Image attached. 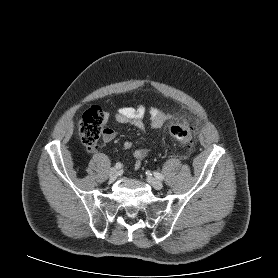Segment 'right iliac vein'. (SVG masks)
Here are the masks:
<instances>
[{"label": "right iliac vein", "mask_w": 278, "mask_h": 278, "mask_svg": "<svg viewBox=\"0 0 278 278\" xmlns=\"http://www.w3.org/2000/svg\"><path fill=\"white\" fill-rule=\"evenodd\" d=\"M118 176V170L116 168H111L109 172L110 180L114 181Z\"/></svg>", "instance_id": "1"}]
</instances>
